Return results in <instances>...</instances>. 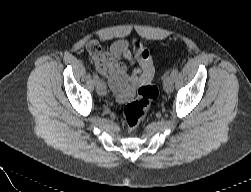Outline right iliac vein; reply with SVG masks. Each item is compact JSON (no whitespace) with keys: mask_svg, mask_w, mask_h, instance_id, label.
<instances>
[{"mask_svg":"<svg viewBox=\"0 0 251 192\" xmlns=\"http://www.w3.org/2000/svg\"><path fill=\"white\" fill-rule=\"evenodd\" d=\"M96 90L98 92L99 95L101 96H105L107 94V88L104 82L100 81L97 85H96Z\"/></svg>","mask_w":251,"mask_h":192,"instance_id":"obj_1","label":"right iliac vein"}]
</instances>
